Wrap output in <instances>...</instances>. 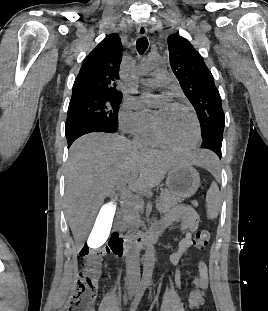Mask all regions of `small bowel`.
I'll return each mask as SVG.
<instances>
[{
    "instance_id": "1",
    "label": "small bowel",
    "mask_w": 268,
    "mask_h": 311,
    "mask_svg": "<svg viewBox=\"0 0 268 311\" xmlns=\"http://www.w3.org/2000/svg\"><path fill=\"white\" fill-rule=\"evenodd\" d=\"M178 223L184 231V235L178 243L177 249L170 255V260L177 265L194 244L195 234L199 225L197 212L189 206H180L173 209L166 218L158 222L154 229L163 231ZM198 274L192 281L193 289L188 296V306L191 309L203 305L208 288V268L205 262L200 261L197 266ZM180 274L176 275V285L179 286Z\"/></svg>"
}]
</instances>
